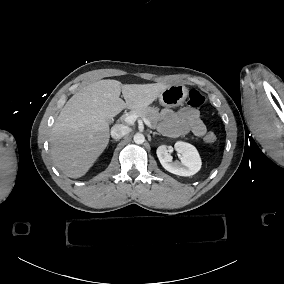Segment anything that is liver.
I'll list each match as a JSON object with an SVG mask.
<instances>
[{
	"label": "liver",
	"instance_id": "6515ba94",
	"mask_svg": "<svg viewBox=\"0 0 284 284\" xmlns=\"http://www.w3.org/2000/svg\"><path fill=\"white\" fill-rule=\"evenodd\" d=\"M170 85L125 84L117 80L90 83L62 108L51 131L54 164L70 178L83 176L109 142V124L123 109L150 105ZM122 95L125 102L119 97Z\"/></svg>",
	"mask_w": 284,
	"mask_h": 284
}]
</instances>
